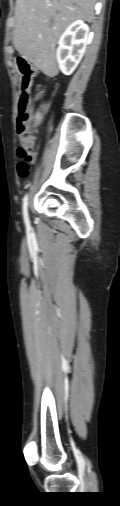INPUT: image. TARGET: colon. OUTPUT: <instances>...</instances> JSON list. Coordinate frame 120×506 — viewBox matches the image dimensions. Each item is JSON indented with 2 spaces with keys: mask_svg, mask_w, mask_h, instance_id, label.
<instances>
[{
  "mask_svg": "<svg viewBox=\"0 0 120 506\" xmlns=\"http://www.w3.org/2000/svg\"><path fill=\"white\" fill-rule=\"evenodd\" d=\"M15 60L22 74L21 87L23 90L19 99V116L17 120V131L20 143L18 148L19 162L17 164V171L20 177H26L30 171L32 151L36 142L35 128L38 125V113L33 111L28 93L34 69L28 63V57L24 50H18L16 52Z\"/></svg>",
  "mask_w": 120,
  "mask_h": 506,
  "instance_id": "obj_1",
  "label": "colon"
}]
</instances>
